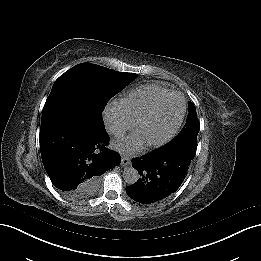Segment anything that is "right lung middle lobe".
Listing matches in <instances>:
<instances>
[{
	"instance_id": "1",
	"label": "right lung middle lobe",
	"mask_w": 261,
	"mask_h": 261,
	"mask_svg": "<svg viewBox=\"0 0 261 261\" xmlns=\"http://www.w3.org/2000/svg\"><path fill=\"white\" fill-rule=\"evenodd\" d=\"M137 74L117 72L115 70L90 63L74 66L54 83L50 96L64 97L84 103L98 112H102L106 103L136 79ZM97 182L87 185L78 194L94 190Z\"/></svg>"
}]
</instances>
